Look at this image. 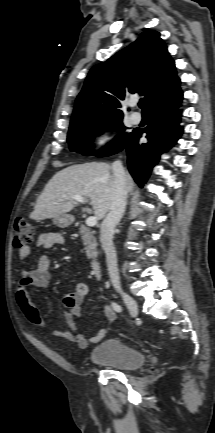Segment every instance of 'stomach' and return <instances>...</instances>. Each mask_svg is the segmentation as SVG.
<instances>
[{"label":"stomach","mask_w":215,"mask_h":433,"mask_svg":"<svg viewBox=\"0 0 215 433\" xmlns=\"http://www.w3.org/2000/svg\"><path fill=\"white\" fill-rule=\"evenodd\" d=\"M74 221L73 216L69 215V214H63L60 216H57L55 218H53V223L61 228H66L68 226H70Z\"/></svg>","instance_id":"1"}]
</instances>
